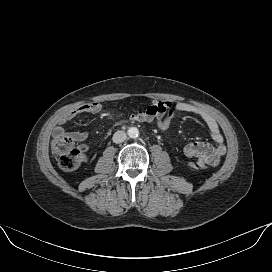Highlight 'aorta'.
I'll return each mask as SVG.
<instances>
[{
	"label": "aorta",
	"instance_id": "1",
	"mask_svg": "<svg viewBox=\"0 0 272 272\" xmlns=\"http://www.w3.org/2000/svg\"><path fill=\"white\" fill-rule=\"evenodd\" d=\"M138 135H139V130H138V128H136V127H130V128L128 129V136H129L130 138H136V137H138Z\"/></svg>",
	"mask_w": 272,
	"mask_h": 272
}]
</instances>
